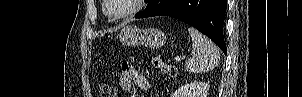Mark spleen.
Instances as JSON below:
<instances>
[{
    "instance_id": "1",
    "label": "spleen",
    "mask_w": 302,
    "mask_h": 97,
    "mask_svg": "<svg viewBox=\"0 0 302 97\" xmlns=\"http://www.w3.org/2000/svg\"><path fill=\"white\" fill-rule=\"evenodd\" d=\"M192 39L191 57L185 64L188 73H203L214 69L220 60L218 47L198 30L188 28Z\"/></svg>"
}]
</instances>
